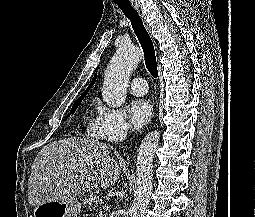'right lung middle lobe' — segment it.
Here are the masks:
<instances>
[{
	"mask_svg": "<svg viewBox=\"0 0 255 217\" xmlns=\"http://www.w3.org/2000/svg\"><path fill=\"white\" fill-rule=\"evenodd\" d=\"M86 96V94L82 95L81 97L78 98V100L73 104L71 110H70V114L75 113L77 107L80 105V103L82 102V100L84 99V97Z\"/></svg>",
	"mask_w": 255,
	"mask_h": 217,
	"instance_id": "dd1d6c3e",
	"label": "right lung middle lobe"
}]
</instances>
